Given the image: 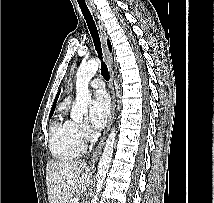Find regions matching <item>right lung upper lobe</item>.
<instances>
[{
  "mask_svg": "<svg viewBox=\"0 0 214 203\" xmlns=\"http://www.w3.org/2000/svg\"><path fill=\"white\" fill-rule=\"evenodd\" d=\"M108 46H109V49L111 50V44L109 41H108ZM59 94H60V90L58 91V94L56 95V98H55L54 103H53L52 108H51L50 115H52L54 110H55V106H56V102H57Z\"/></svg>",
  "mask_w": 214,
  "mask_h": 203,
  "instance_id": "1",
  "label": "right lung upper lobe"
}]
</instances>
